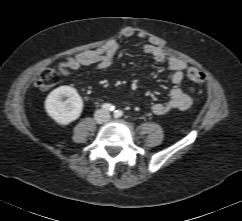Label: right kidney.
<instances>
[{
  "label": "right kidney",
  "mask_w": 242,
  "mask_h": 221,
  "mask_svg": "<svg viewBox=\"0 0 242 221\" xmlns=\"http://www.w3.org/2000/svg\"><path fill=\"white\" fill-rule=\"evenodd\" d=\"M45 109L58 124L68 125L81 115L83 101L75 88L60 86L47 96Z\"/></svg>",
  "instance_id": "obj_1"
}]
</instances>
